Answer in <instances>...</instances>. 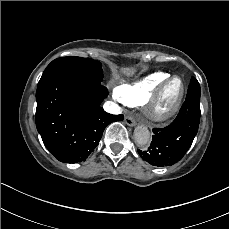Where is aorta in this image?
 I'll return each mask as SVG.
<instances>
[{"mask_svg": "<svg viewBox=\"0 0 229 229\" xmlns=\"http://www.w3.org/2000/svg\"><path fill=\"white\" fill-rule=\"evenodd\" d=\"M134 140L139 146H146L150 142V132L145 126H137L134 130Z\"/></svg>", "mask_w": 229, "mask_h": 229, "instance_id": "obj_1", "label": "aorta"}]
</instances>
